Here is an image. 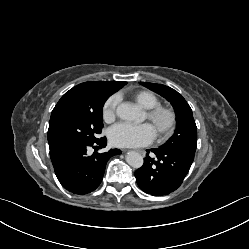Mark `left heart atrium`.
<instances>
[{"instance_id": "39dd6f15", "label": "left heart atrium", "mask_w": 249, "mask_h": 249, "mask_svg": "<svg viewBox=\"0 0 249 249\" xmlns=\"http://www.w3.org/2000/svg\"><path fill=\"white\" fill-rule=\"evenodd\" d=\"M154 138L155 129L148 123H119L109 130V140L117 147H141L150 144Z\"/></svg>"}]
</instances>
